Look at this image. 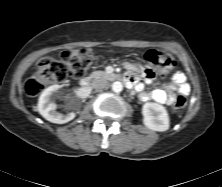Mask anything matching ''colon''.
<instances>
[{
	"label": "colon",
	"instance_id": "obj_1",
	"mask_svg": "<svg viewBox=\"0 0 222 187\" xmlns=\"http://www.w3.org/2000/svg\"><path fill=\"white\" fill-rule=\"evenodd\" d=\"M145 61L151 66L150 75L168 71L172 67L169 55L150 49L144 53ZM94 57L89 50H70L62 54L61 59L41 58L36 69L26 82V93L36 96L48 85L65 81L68 78L79 80L85 76L93 64ZM187 105V98L179 95L173 103V112L180 114Z\"/></svg>",
	"mask_w": 222,
	"mask_h": 187
}]
</instances>
